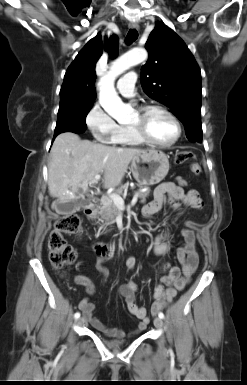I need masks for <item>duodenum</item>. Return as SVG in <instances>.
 Wrapping results in <instances>:
<instances>
[{
    "instance_id": "obj_1",
    "label": "duodenum",
    "mask_w": 247,
    "mask_h": 385,
    "mask_svg": "<svg viewBox=\"0 0 247 385\" xmlns=\"http://www.w3.org/2000/svg\"><path fill=\"white\" fill-rule=\"evenodd\" d=\"M98 212H99V206L96 204H93V203L89 204L85 209V215L89 219H94L97 216ZM96 250L100 254H107L108 253V249L102 245H97Z\"/></svg>"
}]
</instances>
